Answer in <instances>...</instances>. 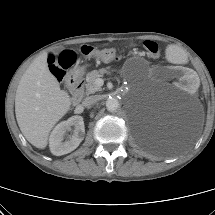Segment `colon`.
Segmentation results:
<instances>
[{"mask_svg":"<svg viewBox=\"0 0 215 215\" xmlns=\"http://www.w3.org/2000/svg\"><path fill=\"white\" fill-rule=\"evenodd\" d=\"M144 48L151 57H157L159 54V48L154 42L146 41ZM80 52L85 56L98 57L104 61H112L117 57L114 48H98L86 44L80 47ZM75 60L76 55L70 50L63 51L58 55L51 54L48 58L50 71L57 79L62 80L65 71L75 63Z\"/></svg>","mask_w":215,"mask_h":215,"instance_id":"1","label":"colon"}]
</instances>
